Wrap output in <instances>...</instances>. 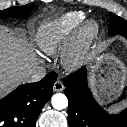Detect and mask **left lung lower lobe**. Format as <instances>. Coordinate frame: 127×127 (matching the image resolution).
<instances>
[{"mask_svg": "<svg viewBox=\"0 0 127 127\" xmlns=\"http://www.w3.org/2000/svg\"><path fill=\"white\" fill-rule=\"evenodd\" d=\"M121 35L127 38V33ZM63 82L69 100V127H127V109L112 115L95 101L88 88L85 66L65 77Z\"/></svg>", "mask_w": 127, "mask_h": 127, "instance_id": "left-lung-lower-lobe-1", "label": "left lung lower lobe"}]
</instances>
